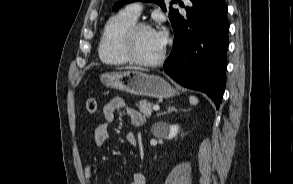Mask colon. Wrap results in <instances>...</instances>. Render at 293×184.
<instances>
[{
	"label": "colon",
	"mask_w": 293,
	"mask_h": 184,
	"mask_svg": "<svg viewBox=\"0 0 293 184\" xmlns=\"http://www.w3.org/2000/svg\"><path fill=\"white\" fill-rule=\"evenodd\" d=\"M86 109L89 114H94L97 110V100L91 96L86 100Z\"/></svg>",
	"instance_id": "5ec220e1"
}]
</instances>
